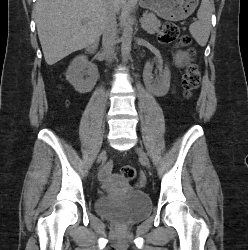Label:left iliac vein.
<instances>
[{"label": "left iliac vein", "mask_w": 248, "mask_h": 250, "mask_svg": "<svg viewBox=\"0 0 248 250\" xmlns=\"http://www.w3.org/2000/svg\"><path fill=\"white\" fill-rule=\"evenodd\" d=\"M136 151H137L142 163L146 167H149V158H148L147 154L141 148H136Z\"/></svg>", "instance_id": "left-iliac-vein-1"}]
</instances>
